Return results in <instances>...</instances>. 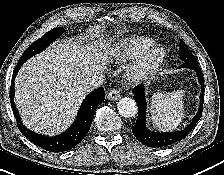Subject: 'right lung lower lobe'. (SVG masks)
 Masks as SVG:
<instances>
[{"instance_id":"98d812e1","label":"right lung lower lobe","mask_w":224,"mask_h":175,"mask_svg":"<svg viewBox=\"0 0 224 175\" xmlns=\"http://www.w3.org/2000/svg\"><path fill=\"white\" fill-rule=\"evenodd\" d=\"M26 60H19L16 65L11 81V92H10V102L13 113L17 120V126L20 132L32 141L34 144L39 147L47 150V151H68L74 148L81 140L85 137V135L89 132V129L92 124V120L94 117V113L97 107L104 101L105 93L103 87H100L94 90L91 94H89L85 100L83 101L76 121L72 124V126L62 133L61 135L55 137H47L37 134L29 129H27L21 122V118L19 116V112L14 103V80L16 74L18 73L20 67Z\"/></svg>"}]
</instances>
